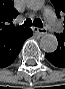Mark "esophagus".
<instances>
[{
	"label": "esophagus",
	"instance_id": "obj_1",
	"mask_svg": "<svg viewBox=\"0 0 65 89\" xmlns=\"http://www.w3.org/2000/svg\"><path fill=\"white\" fill-rule=\"evenodd\" d=\"M32 29L35 33L39 34L40 36H43L47 33V31L45 29H39L36 27H33Z\"/></svg>",
	"mask_w": 65,
	"mask_h": 89
}]
</instances>
